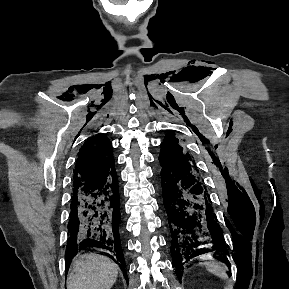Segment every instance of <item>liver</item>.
I'll list each match as a JSON object with an SVG mask.
<instances>
[{
  "label": "liver",
  "mask_w": 289,
  "mask_h": 289,
  "mask_svg": "<svg viewBox=\"0 0 289 289\" xmlns=\"http://www.w3.org/2000/svg\"><path fill=\"white\" fill-rule=\"evenodd\" d=\"M118 266L109 258L89 254L73 261L67 289H110L116 282Z\"/></svg>",
  "instance_id": "obj_1"
}]
</instances>
